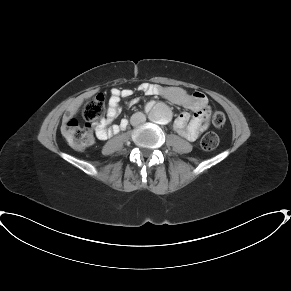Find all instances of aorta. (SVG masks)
<instances>
[{"label":"aorta","mask_w":291,"mask_h":291,"mask_svg":"<svg viewBox=\"0 0 291 291\" xmlns=\"http://www.w3.org/2000/svg\"><path fill=\"white\" fill-rule=\"evenodd\" d=\"M172 117L170 108L163 103H156L149 111V118L157 124L165 125Z\"/></svg>","instance_id":"aorta-1"}]
</instances>
